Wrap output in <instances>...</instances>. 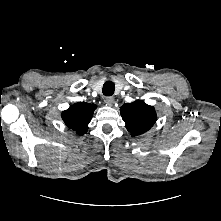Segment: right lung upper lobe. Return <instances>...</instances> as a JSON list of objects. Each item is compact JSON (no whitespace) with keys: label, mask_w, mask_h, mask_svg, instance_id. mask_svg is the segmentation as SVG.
Instances as JSON below:
<instances>
[{"label":"right lung upper lobe","mask_w":221,"mask_h":221,"mask_svg":"<svg viewBox=\"0 0 221 221\" xmlns=\"http://www.w3.org/2000/svg\"><path fill=\"white\" fill-rule=\"evenodd\" d=\"M95 104L79 102L62 113V119L67 127L76 131L79 135L87 132L88 124L91 121Z\"/></svg>","instance_id":"right-lung-upper-lobe-1"}]
</instances>
